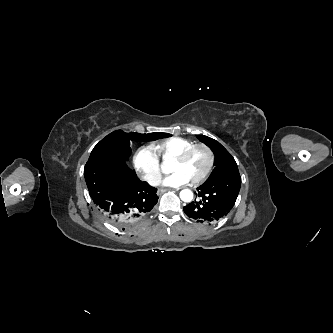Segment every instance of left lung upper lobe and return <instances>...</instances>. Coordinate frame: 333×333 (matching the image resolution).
<instances>
[{"label":"left lung upper lobe","instance_id":"1","mask_svg":"<svg viewBox=\"0 0 333 333\" xmlns=\"http://www.w3.org/2000/svg\"><path fill=\"white\" fill-rule=\"evenodd\" d=\"M197 137L210 147L215 154V168L205 183L226 174L239 172L233 156L218 141L204 135H198Z\"/></svg>","mask_w":333,"mask_h":333}]
</instances>
